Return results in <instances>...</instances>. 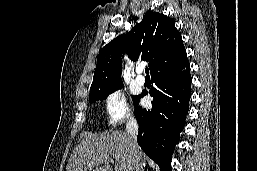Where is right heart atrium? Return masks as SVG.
<instances>
[{
  "label": "right heart atrium",
  "mask_w": 257,
  "mask_h": 171,
  "mask_svg": "<svg viewBox=\"0 0 257 171\" xmlns=\"http://www.w3.org/2000/svg\"><path fill=\"white\" fill-rule=\"evenodd\" d=\"M104 111L108 123L112 126L133 118L127 96L121 90H114L105 97Z\"/></svg>",
  "instance_id": "1"
}]
</instances>
